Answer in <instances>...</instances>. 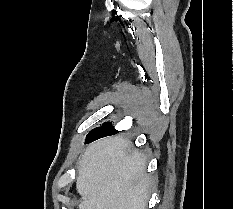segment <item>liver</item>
I'll list each match as a JSON object with an SVG mask.
<instances>
[{"mask_svg": "<svg viewBox=\"0 0 233 209\" xmlns=\"http://www.w3.org/2000/svg\"><path fill=\"white\" fill-rule=\"evenodd\" d=\"M122 136L90 144L79 162L76 189L79 209H146L149 178L139 151Z\"/></svg>", "mask_w": 233, "mask_h": 209, "instance_id": "1", "label": "liver"}]
</instances>
